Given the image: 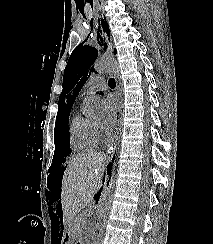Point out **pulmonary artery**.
<instances>
[{
  "label": "pulmonary artery",
  "instance_id": "1",
  "mask_svg": "<svg viewBox=\"0 0 213 244\" xmlns=\"http://www.w3.org/2000/svg\"><path fill=\"white\" fill-rule=\"evenodd\" d=\"M106 87V82L101 76H94L86 82L83 88V93L88 94L104 91Z\"/></svg>",
  "mask_w": 213,
  "mask_h": 244
}]
</instances>
